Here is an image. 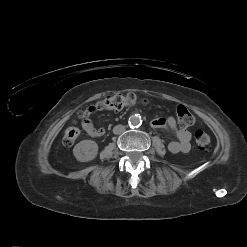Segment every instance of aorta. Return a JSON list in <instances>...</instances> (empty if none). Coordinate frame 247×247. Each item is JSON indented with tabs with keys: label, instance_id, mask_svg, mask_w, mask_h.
I'll return each instance as SVG.
<instances>
[{
	"label": "aorta",
	"instance_id": "1",
	"mask_svg": "<svg viewBox=\"0 0 247 247\" xmlns=\"http://www.w3.org/2000/svg\"><path fill=\"white\" fill-rule=\"evenodd\" d=\"M142 123L141 117L137 114L131 115L128 119V124L131 127L139 126Z\"/></svg>",
	"mask_w": 247,
	"mask_h": 247
}]
</instances>
